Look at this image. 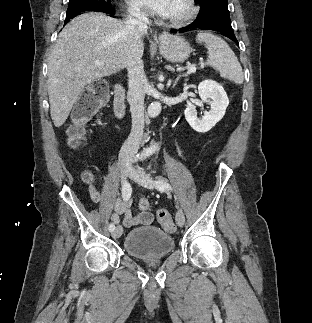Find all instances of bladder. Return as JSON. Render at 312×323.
Instances as JSON below:
<instances>
[{
    "mask_svg": "<svg viewBox=\"0 0 312 323\" xmlns=\"http://www.w3.org/2000/svg\"><path fill=\"white\" fill-rule=\"evenodd\" d=\"M125 251L140 259H157L172 252L174 238L158 227L131 229L124 239Z\"/></svg>",
    "mask_w": 312,
    "mask_h": 323,
    "instance_id": "bladder-1",
    "label": "bladder"
}]
</instances>
